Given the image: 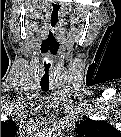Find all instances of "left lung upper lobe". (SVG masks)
Here are the masks:
<instances>
[{
    "label": "left lung upper lobe",
    "mask_w": 121,
    "mask_h": 137,
    "mask_svg": "<svg viewBox=\"0 0 121 137\" xmlns=\"http://www.w3.org/2000/svg\"><path fill=\"white\" fill-rule=\"evenodd\" d=\"M79 135L85 136H104V135H117L118 131L110 124L104 121L85 120L80 122L77 126Z\"/></svg>",
    "instance_id": "1"
}]
</instances>
